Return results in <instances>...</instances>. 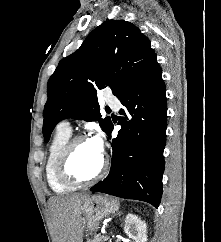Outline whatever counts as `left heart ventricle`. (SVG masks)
Segmentation results:
<instances>
[{"label": "left heart ventricle", "instance_id": "b2bd125f", "mask_svg": "<svg viewBox=\"0 0 221 242\" xmlns=\"http://www.w3.org/2000/svg\"><path fill=\"white\" fill-rule=\"evenodd\" d=\"M102 156L103 154L98 152L89 140L82 141L75 147L71 170L78 177L90 178L98 171Z\"/></svg>", "mask_w": 221, "mask_h": 242}]
</instances>
